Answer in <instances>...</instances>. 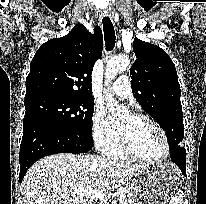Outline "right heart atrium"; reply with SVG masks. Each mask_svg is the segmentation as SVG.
Returning <instances> with one entry per match:
<instances>
[{"instance_id":"1","label":"right heart atrium","mask_w":206,"mask_h":204,"mask_svg":"<svg viewBox=\"0 0 206 204\" xmlns=\"http://www.w3.org/2000/svg\"><path fill=\"white\" fill-rule=\"evenodd\" d=\"M91 134L96 148L106 153L116 142L118 133L101 109H96L92 116Z\"/></svg>"}]
</instances>
